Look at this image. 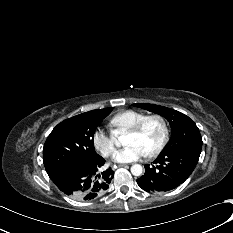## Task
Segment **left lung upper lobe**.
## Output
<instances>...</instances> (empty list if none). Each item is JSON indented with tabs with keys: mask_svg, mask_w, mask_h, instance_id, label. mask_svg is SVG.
<instances>
[{
	"mask_svg": "<svg viewBox=\"0 0 233 233\" xmlns=\"http://www.w3.org/2000/svg\"><path fill=\"white\" fill-rule=\"evenodd\" d=\"M133 105L160 114L169 121L172 135L164 152L185 151L200 156L202 138L198 127L187 115L167 107L149 103Z\"/></svg>",
	"mask_w": 233,
	"mask_h": 233,
	"instance_id": "obj_1",
	"label": "left lung upper lobe"
}]
</instances>
